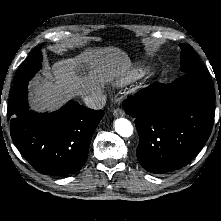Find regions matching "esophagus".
<instances>
[{
  "instance_id": "esophagus-1",
  "label": "esophagus",
  "mask_w": 221,
  "mask_h": 221,
  "mask_svg": "<svg viewBox=\"0 0 221 221\" xmlns=\"http://www.w3.org/2000/svg\"><path fill=\"white\" fill-rule=\"evenodd\" d=\"M113 115H114L115 117H122V116L125 115V112H124V110L121 109V108H116V109L113 111Z\"/></svg>"
}]
</instances>
